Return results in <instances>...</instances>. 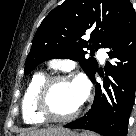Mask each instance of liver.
Masks as SVG:
<instances>
[{
  "label": "liver",
  "instance_id": "1",
  "mask_svg": "<svg viewBox=\"0 0 136 136\" xmlns=\"http://www.w3.org/2000/svg\"><path fill=\"white\" fill-rule=\"evenodd\" d=\"M67 131V129L64 128H47V129H31L26 131L25 133H22L20 136H55L60 132Z\"/></svg>",
  "mask_w": 136,
  "mask_h": 136
}]
</instances>
